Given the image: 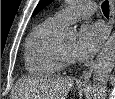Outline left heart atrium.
Returning <instances> with one entry per match:
<instances>
[{
    "instance_id": "left-heart-atrium-1",
    "label": "left heart atrium",
    "mask_w": 115,
    "mask_h": 99,
    "mask_svg": "<svg viewBox=\"0 0 115 99\" xmlns=\"http://www.w3.org/2000/svg\"><path fill=\"white\" fill-rule=\"evenodd\" d=\"M105 38V29L100 23L85 24L81 27L74 48V57L78 60L91 58Z\"/></svg>"
}]
</instances>
